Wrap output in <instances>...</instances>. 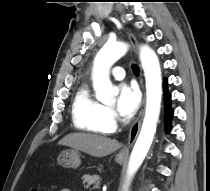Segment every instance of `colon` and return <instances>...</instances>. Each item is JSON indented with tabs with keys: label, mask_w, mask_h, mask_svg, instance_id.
<instances>
[{
	"label": "colon",
	"mask_w": 210,
	"mask_h": 191,
	"mask_svg": "<svg viewBox=\"0 0 210 191\" xmlns=\"http://www.w3.org/2000/svg\"><path fill=\"white\" fill-rule=\"evenodd\" d=\"M30 191H40V190H38V189H32V190H30Z\"/></svg>",
	"instance_id": "obj_1"
}]
</instances>
